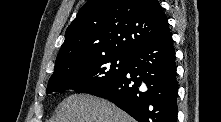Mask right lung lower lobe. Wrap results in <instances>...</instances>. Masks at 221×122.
<instances>
[{
	"mask_svg": "<svg viewBox=\"0 0 221 122\" xmlns=\"http://www.w3.org/2000/svg\"><path fill=\"white\" fill-rule=\"evenodd\" d=\"M177 90L175 50L167 25L130 56L119 77L91 94L108 99L138 122H176Z\"/></svg>",
	"mask_w": 221,
	"mask_h": 122,
	"instance_id": "right-lung-lower-lobe-1",
	"label": "right lung lower lobe"
}]
</instances>
